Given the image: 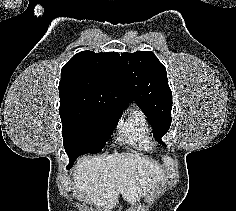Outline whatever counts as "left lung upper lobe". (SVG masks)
Masks as SVG:
<instances>
[{
  "label": "left lung upper lobe",
  "instance_id": "1",
  "mask_svg": "<svg viewBox=\"0 0 236 211\" xmlns=\"http://www.w3.org/2000/svg\"><path fill=\"white\" fill-rule=\"evenodd\" d=\"M121 56L132 101L147 116L155 139L163 143L161 137L168 132L172 120V92L166 68L149 51L126 52Z\"/></svg>",
  "mask_w": 236,
  "mask_h": 211
}]
</instances>
